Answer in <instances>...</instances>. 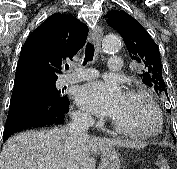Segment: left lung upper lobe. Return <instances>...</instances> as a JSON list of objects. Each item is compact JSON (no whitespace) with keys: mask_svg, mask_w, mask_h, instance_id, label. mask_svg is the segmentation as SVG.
<instances>
[{"mask_svg":"<svg viewBox=\"0 0 177 169\" xmlns=\"http://www.w3.org/2000/svg\"><path fill=\"white\" fill-rule=\"evenodd\" d=\"M105 17L122 36L131 59L138 62L139 76L143 83L152 88L165 101L168 94L162 75L160 52L156 43L148 32L126 12L114 10L108 12ZM172 137L176 140L173 134Z\"/></svg>","mask_w":177,"mask_h":169,"instance_id":"1","label":"left lung upper lobe"}]
</instances>
